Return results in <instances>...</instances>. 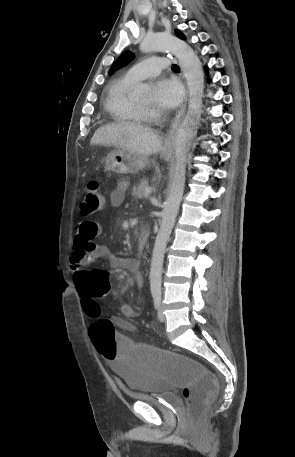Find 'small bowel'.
Wrapping results in <instances>:
<instances>
[{
	"label": "small bowel",
	"instance_id": "1",
	"mask_svg": "<svg viewBox=\"0 0 295 457\" xmlns=\"http://www.w3.org/2000/svg\"><path fill=\"white\" fill-rule=\"evenodd\" d=\"M125 191L126 184L120 183L118 187L111 192L110 203L112 206L118 207L123 203ZM101 232V226L93 220L84 219L79 221L76 225L74 254L70 260V269L73 281L80 295L82 286L87 283V272H90L87 270V267L92 260L95 259H105L111 267H125L134 276L136 284L142 286L143 277L135 260L118 257L110 251L108 246L94 241L95 237L101 234ZM120 311L126 319L133 318L136 315L132 305L127 303L121 306ZM112 322L123 330L131 331L134 329L131 323L121 318L115 317L112 319ZM128 341L132 340L129 338ZM109 361L113 364L112 360Z\"/></svg>",
	"mask_w": 295,
	"mask_h": 457
}]
</instances>
